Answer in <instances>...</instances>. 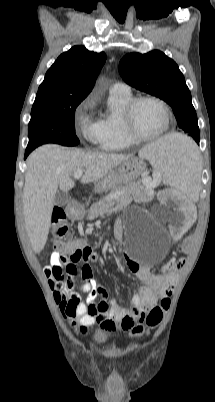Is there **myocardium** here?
Instances as JSON below:
<instances>
[{
    "label": "myocardium",
    "instance_id": "1",
    "mask_svg": "<svg viewBox=\"0 0 215 402\" xmlns=\"http://www.w3.org/2000/svg\"><path fill=\"white\" fill-rule=\"evenodd\" d=\"M144 101H152L157 103L164 111L165 113V117H166V123L164 128L154 134V135H143L140 134L136 127H135V111L136 108L138 107V105L141 102ZM171 120H172V114H171V110L168 106V104L156 97V96H152V95H144V96H138V97H134L132 98L125 106L123 112H122V125H123V129L127 135V137L132 140L133 142H148V141H154L157 140L161 137H163L165 134L168 133L170 126H171Z\"/></svg>",
    "mask_w": 215,
    "mask_h": 402
}]
</instances>
